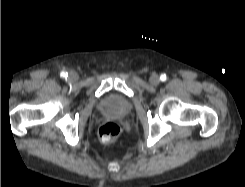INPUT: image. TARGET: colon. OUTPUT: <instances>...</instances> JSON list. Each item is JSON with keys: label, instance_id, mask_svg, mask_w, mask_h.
I'll return each mask as SVG.
<instances>
[{"label": "colon", "instance_id": "5ec220e1", "mask_svg": "<svg viewBox=\"0 0 245 187\" xmlns=\"http://www.w3.org/2000/svg\"><path fill=\"white\" fill-rule=\"evenodd\" d=\"M98 134L103 142H112L121 134V126L115 121H105L99 126Z\"/></svg>", "mask_w": 245, "mask_h": 187}]
</instances>
